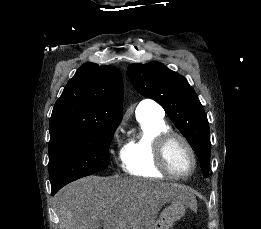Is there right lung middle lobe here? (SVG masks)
I'll list each match as a JSON object with an SVG mask.
<instances>
[{"mask_svg":"<svg viewBox=\"0 0 261 229\" xmlns=\"http://www.w3.org/2000/svg\"><path fill=\"white\" fill-rule=\"evenodd\" d=\"M118 125L95 126L90 130L49 146L51 191L99 172L110 164L109 146Z\"/></svg>","mask_w":261,"mask_h":229,"instance_id":"1","label":"right lung middle lobe"}]
</instances>
